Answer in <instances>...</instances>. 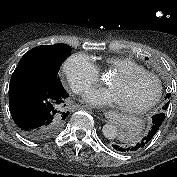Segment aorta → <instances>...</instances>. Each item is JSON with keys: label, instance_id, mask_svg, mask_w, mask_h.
<instances>
[{"label": "aorta", "instance_id": "obj_1", "mask_svg": "<svg viewBox=\"0 0 177 177\" xmlns=\"http://www.w3.org/2000/svg\"><path fill=\"white\" fill-rule=\"evenodd\" d=\"M102 133L105 138L107 139H115L118 135V128L116 125L112 123H107L102 128Z\"/></svg>", "mask_w": 177, "mask_h": 177}]
</instances>
